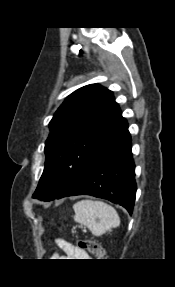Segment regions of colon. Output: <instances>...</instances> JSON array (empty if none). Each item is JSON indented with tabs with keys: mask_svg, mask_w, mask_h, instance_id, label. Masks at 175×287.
Masks as SVG:
<instances>
[{
	"mask_svg": "<svg viewBox=\"0 0 175 287\" xmlns=\"http://www.w3.org/2000/svg\"><path fill=\"white\" fill-rule=\"evenodd\" d=\"M77 245L79 248L87 250L97 258H103L104 257V250L102 246L92 240H86V239H79L77 241Z\"/></svg>",
	"mask_w": 175,
	"mask_h": 287,
	"instance_id": "colon-1",
	"label": "colon"
}]
</instances>
